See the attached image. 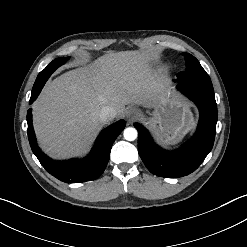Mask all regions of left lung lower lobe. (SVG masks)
<instances>
[{
	"instance_id": "left-lung-lower-lobe-1",
	"label": "left lung lower lobe",
	"mask_w": 247,
	"mask_h": 247,
	"mask_svg": "<svg viewBox=\"0 0 247 247\" xmlns=\"http://www.w3.org/2000/svg\"><path fill=\"white\" fill-rule=\"evenodd\" d=\"M177 88L198 107L200 119L196 133L183 147L169 152L158 147L139 124V155L148 170L160 177L179 178L194 172L211 151L217 123V104L212 84L185 82L178 78Z\"/></svg>"
}]
</instances>
